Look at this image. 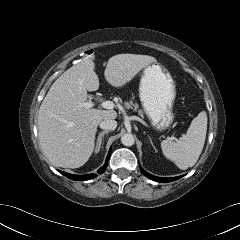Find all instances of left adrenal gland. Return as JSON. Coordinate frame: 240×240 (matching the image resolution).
Masks as SVG:
<instances>
[{"instance_id": "1", "label": "left adrenal gland", "mask_w": 240, "mask_h": 240, "mask_svg": "<svg viewBox=\"0 0 240 240\" xmlns=\"http://www.w3.org/2000/svg\"><path fill=\"white\" fill-rule=\"evenodd\" d=\"M148 138H149L150 143H151L152 147L154 148V150L157 151V150H156V147L154 146V144H153V142H152V140H151V138H150V136H148Z\"/></svg>"}]
</instances>
